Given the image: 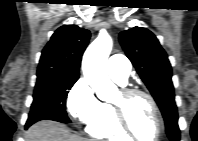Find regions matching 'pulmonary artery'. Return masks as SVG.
I'll return each instance as SVG.
<instances>
[{
  "label": "pulmonary artery",
  "instance_id": "e3ab8cb5",
  "mask_svg": "<svg viewBox=\"0 0 198 141\" xmlns=\"http://www.w3.org/2000/svg\"><path fill=\"white\" fill-rule=\"evenodd\" d=\"M107 71L113 80L125 84L130 73V63L121 54L112 55L107 62Z\"/></svg>",
  "mask_w": 198,
  "mask_h": 141
}]
</instances>
